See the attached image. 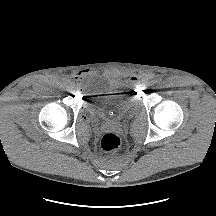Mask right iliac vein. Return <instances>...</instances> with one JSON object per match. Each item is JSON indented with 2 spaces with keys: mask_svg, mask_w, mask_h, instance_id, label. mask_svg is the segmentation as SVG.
Masks as SVG:
<instances>
[{
  "mask_svg": "<svg viewBox=\"0 0 216 216\" xmlns=\"http://www.w3.org/2000/svg\"><path fill=\"white\" fill-rule=\"evenodd\" d=\"M72 91H73V92H76V91H77V88H76V87H73Z\"/></svg>",
  "mask_w": 216,
  "mask_h": 216,
  "instance_id": "63e3f726",
  "label": "right iliac vein"
}]
</instances>
